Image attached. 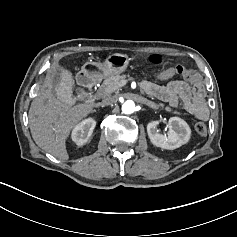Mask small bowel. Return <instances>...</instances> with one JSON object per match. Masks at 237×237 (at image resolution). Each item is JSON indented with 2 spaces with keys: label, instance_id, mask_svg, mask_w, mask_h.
<instances>
[{
  "label": "small bowel",
  "instance_id": "obj_1",
  "mask_svg": "<svg viewBox=\"0 0 237 237\" xmlns=\"http://www.w3.org/2000/svg\"><path fill=\"white\" fill-rule=\"evenodd\" d=\"M175 75L174 69L163 71L159 78L169 79ZM142 89L151 96L169 102L174 108L183 107L191 116L207 120L210 116L209 105L206 100V90L202 79L194 75L191 80L186 82L174 81L166 86L145 81L142 83Z\"/></svg>",
  "mask_w": 237,
  "mask_h": 237
}]
</instances>
